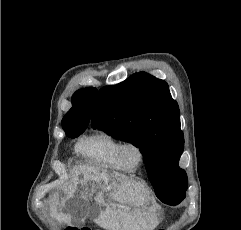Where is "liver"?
I'll return each mask as SVG.
<instances>
[{
  "label": "liver",
  "instance_id": "liver-1",
  "mask_svg": "<svg viewBox=\"0 0 241 230\" xmlns=\"http://www.w3.org/2000/svg\"><path fill=\"white\" fill-rule=\"evenodd\" d=\"M80 174L83 175L82 180L78 178ZM115 180L118 183H115ZM111 181L113 183L110 184ZM87 182H92L91 192L96 193L95 202L105 206L94 219V222L103 229L154 230L157 227V214L152 208L147 207L151 200L147 189L125 175L110 174L106 169L93 166H80L74 170L71 183L64 185L62 189L66 197L61 201L57 198L52 201L54 213L65 224L72 225L71 215L63 212L66 201L75 195L78 184L85 185ZM105 191H110L107 194L108 203L105 202ZM80 198L87 205L86 212H92V208L88 206L86 193L81 192Z\"/></svg>",
  "mask_w": 241,
  "mask_h": 230
}]
</instances>
